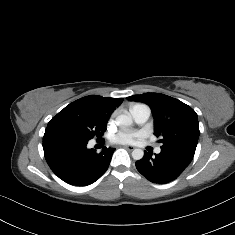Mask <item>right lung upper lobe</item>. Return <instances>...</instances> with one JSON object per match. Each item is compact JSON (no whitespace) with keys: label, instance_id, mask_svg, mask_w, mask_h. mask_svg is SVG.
I'll return each mask as SVG.
<instances>
[{"label":"right lung upper lobe","instance_id":"right-lung-upper-lobe-1","mask_svg":"<svg viewBox=\"0 0 235 235\" xmlns=\"http://www.w3.org/2000/svg\"><path fill=\"white\" fill-rule=\"evenodd\" d=\"M122 98H104L102 96L90 95L80 98L71 104L67 105L48 123L47 128L56 127V120L64 113L78 109H91L99 111L110 117L116 107L122 103Z\"/></svg>","mask_w":235,"mask_h":235}]
</instances>
